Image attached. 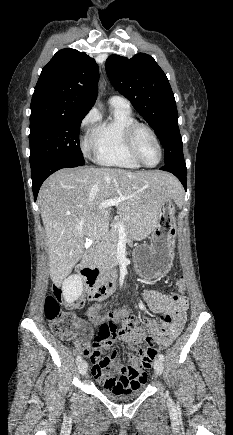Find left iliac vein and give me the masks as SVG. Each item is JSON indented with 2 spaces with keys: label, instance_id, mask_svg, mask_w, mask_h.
<instances>
[{
  "label": "left iliac vein",
  "instance_id": "1",
  "mask_svg": "<svg viewBox=\"0 0 233 435\" xmlns=\"http://www.w3.org/2000/svg\"><path fill=\"white\" fill-rule=\"evenodd\" d=\"M163 367H164V365H163V361L162 360L156 359L154 361V370H155L156 374L161 375L162 372H163Z\"/></svg>",
  "mask_w": 233,
  "mask_h": 435
}]
</instances>
